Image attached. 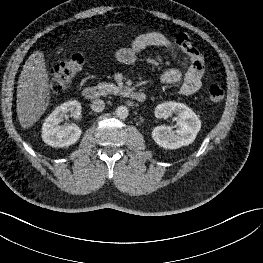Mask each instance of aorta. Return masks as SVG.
Masks as SVG:
<instances>
[{
	"mask_svg": "<svg viewBox=\"0 0 263 263\" xmlns=\"http://www.w3.org/2000/svg\"><path fill=\"white\" fill-rule=\"evenodd\" d=\"M116 115L119 119H126L129 115V110L126 106H119L116 109Z\"/></svg>",
	"mask_w": 263,
	"mask_h": 263,
	"instance_id": "762f6f07",
	"label": "aorta"
}]
</instances>
